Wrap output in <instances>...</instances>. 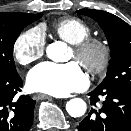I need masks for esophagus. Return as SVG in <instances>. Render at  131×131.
<instances>
[{
	"label": "esophagus",
	"mask_w": 131,
	"mask_h": 131,
	"mask_svg": "<svg viewBox=\"0 0 131 131\" xmlns=\"http://www.w3.org/2000/svg\"><path fill=\"white\" fill-rule=\"evenodd\" d=\"M35 97L38 100H44V99H51L52 98L51 96H49L47 94H42V93L36 94Z\"/></svg>",
	"instance_id": "obj_1"
}]
</instances>
